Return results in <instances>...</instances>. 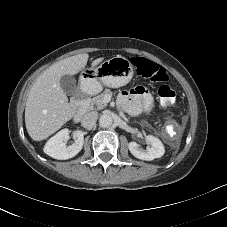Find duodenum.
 <instances>
[{
  "instance_id": "obj_1",
  "label": "duodenum",
  "mask_w": 227,
  "mask_h": 227,
  "mask_svg": "<svg viewBox=\"0 0 227 227\" xmlns=\"http://www.w3.org/2000/svg\"><path fill=\"white\" fill-rule=\"evenodd\" d=\"M74 102L79 106V110L74 117V121L77 123L80 121L82 116L87 112L89 108V101L87 100L85 94L83 92H80L76 95Z\"/></svg>"
}]
</instances>
